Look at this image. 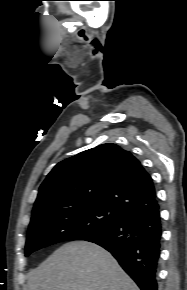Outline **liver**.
<instances>
[{"label":"liver","mask_w":187,"mask_h":290,"mask_svg":"<svg viewBox=\"0 0 187 290\" xmlns=\"http://www.w3.org/2000/svg\"><path fill=\"white\" fill-rule=\"evenodd\" d=\"M26 290H140L114 257L87 241L68 242L28 273Z\"/></svg>","instance_id":"liver-1"}]
</instances>
